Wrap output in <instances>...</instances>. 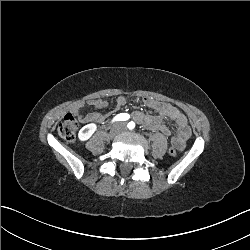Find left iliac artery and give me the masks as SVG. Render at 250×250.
<instances>
[{"label":"left iliac artery","instance_id":"obj_1","mask_svg":"<svg viewBox=\"0 0 250 250\" xmlns=\"http://www.w3.org/2000/svg\"><path fill=\"white\" fill-rule=\"evenodd\" d=\"M127 127L130 129V130H133L135 128V123L133 121L129 122Z\"/></svg>","mask_w":250,"mask_h":250}]
</instances>
